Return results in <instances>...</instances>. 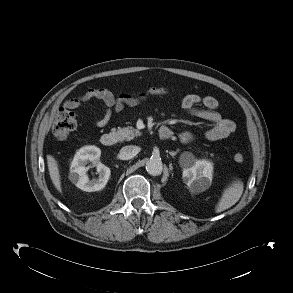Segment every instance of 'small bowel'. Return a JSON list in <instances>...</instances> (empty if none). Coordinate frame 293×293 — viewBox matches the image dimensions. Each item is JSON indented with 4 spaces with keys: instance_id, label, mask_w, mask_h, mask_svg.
I'll use <instances>...</instances> for the list:
<instances>
[{
    "instance_id": "small-bowel-1",
    "label": "small bowel",
    "mask_w": 293,
    "mask_h": 293,
    "mask_svg": "<svg viewBox=\"0 0 293 293\" xmlns=\"http://www.w3.org/2000/svg\"><path fill=\"white\" fill-rule=\"evenodd\" d=\"M148 98L147 93L137 95L120 94L115 96L106 88H89L83 94L67 99L64 107L67 109H77L84 103L95 99L104 105V114L96 120V125L105 127L114 112L122 111L126 106H136ZM181 107L187 113L198 116L209 123L211 128L205 132L208 140H220L229 137L235 131V123L232 120L223 118L217 111L218 101L212 96H200L197 94H187L181 100ZM179 138L184 143H189L194 136L190 132H183Z\"/></svg>"
}]
</instances>
